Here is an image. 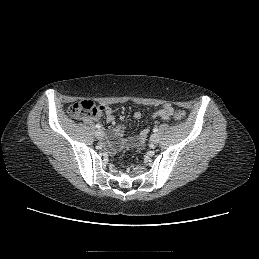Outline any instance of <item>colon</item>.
I'll use <instances>...</instances> for the list:
<instances>
[{
	"mask_svg": "<svg viewBox=\"0 0 259 259\" xmlns=\"http://www.w3.org/2000/svg\"><path fill=\"white\" fill-rule=\"evenodd\" d=\"M101 106H97L91 100H82L72 104L68 113L74 118H92L98 115ZM173 116L178 121H183L186 118V113L182 110H177Z\"/></svg>",
	"mask_w": 259,
	"mask_h": 259,
	"instance_id": "1",
	"label": "colon"
}]
</instances>
